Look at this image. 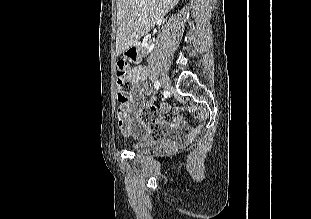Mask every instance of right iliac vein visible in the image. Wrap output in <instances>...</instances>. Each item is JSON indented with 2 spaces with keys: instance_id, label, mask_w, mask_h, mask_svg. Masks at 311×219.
<instances>
[{
  "instance_id": "1",
  "label": "right iliac vein",
  "mask_w": 311,
  "mask_h": 219,
  "mask_svg": "<svg viewBox=\"0 0 311 219\" xmlns=\"http://www.w3.org/2000/svg\"><path fill=\"white\" fill-rule=\"evenodd\" d=\"M161 86L163 89H167L169 87V78L166 75L161 77Z\"/></svg>"
}]
</instances>
